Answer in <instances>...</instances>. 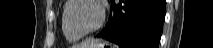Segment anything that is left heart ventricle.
<instances>
[{"mask_svg":"<svg viewBox=\"0 0 213 48\" xmlns=\"http://www.w3.org/2000/svg\"><path fill=\"white\" fill-rule=\"evenodd\" d=\"M99 17L100 13L95 4L79 1L69 13V22L76 31L84 32L96 26Z\"/></svg>","mask_w":213,"mask_h":48,"instance_id":"1","label":"left heart ventricle"}]
</instances>
